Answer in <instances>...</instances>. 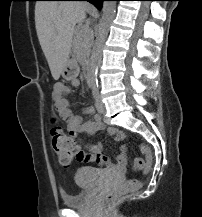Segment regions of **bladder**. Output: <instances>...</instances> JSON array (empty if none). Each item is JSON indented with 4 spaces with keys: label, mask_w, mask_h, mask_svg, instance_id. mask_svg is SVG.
Here are the masks:
<instances>
[{
    "label": "bladder",
    "mask_w": 202,
    "mask_h": 217,
    "mask_svg": "<svg viewBox=\"0 0 202 217\" xmlns=\"http://www.w3.org/2000/svg\"><path fill=\"white\" fill-rule=\"evenodd\" d=\"M92 167H81L75 173V183L79 187V192L75 195L62 194V203L69 207L85 206L93 196V188L104 174Z\"/></svg>",
    "instance_id": "1"
}]
</instances>
